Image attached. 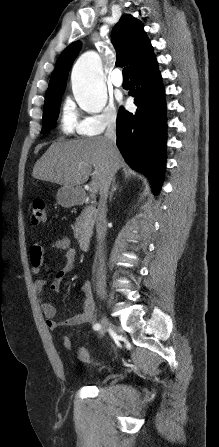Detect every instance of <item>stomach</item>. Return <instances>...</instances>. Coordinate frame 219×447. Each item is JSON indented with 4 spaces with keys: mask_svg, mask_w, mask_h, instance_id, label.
Instances as JSON below:
<instances>
[{
    "mask_svg": "<svg viewBox=\"0 0 219 447\" xmlns=\"http://www.w3.org/2000/svg\"><path fill=\"white\" fill-rule=\"evenodd\" d=\"M79 195L78 188L63 186L57 192V201L61 206L68 208L77 203Z\"/></svg>",
    "mask_w": 219,
    "mask_h": 447,
    "instance_id": "stomach-1",
    "label": "stomach"
}]
</instances>
